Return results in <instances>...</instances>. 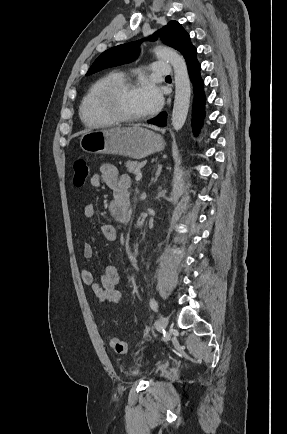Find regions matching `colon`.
I'll return each mask as SVG.
<instances>
[{
    "instance_id": "5ec220e1",
    "label": "colon",
    "mask_w": 287,
    "mask_h": 434,
    "mask_svg": "<svg viewBox=\"0 0 287 434\" xmlns=\"http://www.w3.org/2000/svg\"><path fill=\"white\" fill-rule=\"evenodd\" d=\"M73 172V184L77 187L83 186L90 174L87 163L82 159L76 160L73 163ZM108 342L111 349L118 354H126L129 351L127 343L118 337L110 336Z\"/></svg>"
}]
</instances>
